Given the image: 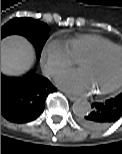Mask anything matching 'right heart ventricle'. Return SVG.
Listing matches in <instances>:
<instances>
[{
	"label": "right heart ventricle",
	"instance_id": "right-heart-ventricle-1",
	"mask_svg": "<svg viewBox=\"0 0 122 154\" xmlns=\"http://www.w3.org/2000/svg\"><path fill=\"white\" fill-rule=\"evenodd\" d=\"M66 45L74 60H80L88 54L115 44L108 38L97 34H83L68 39Z\"/></svg>",
	"mask_w": 122,
	"mask_h": 154
}]
</instances>
